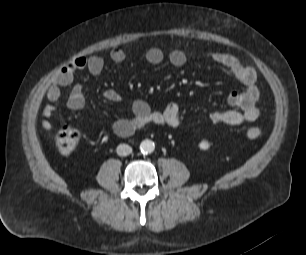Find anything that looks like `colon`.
<instances>
[{
	"label": "colon",
	"mask_w": 306,
	"mask_h": 255,
	"mask_svg": "<svg viewBox=\"0 0 306 255\" xmlns=\"http://www.w3.org/2000/svg\"><path fill=\"white\" fill-rule=\"evenodd\" d=\"M261 130L258 127H250L247 130V136L256 139L260 136ZM79 141V133L76 129L64 126L55 136V144L62 155L71 154Z\"/></svg>",
	"instance_id": "1"
}]
</instances>
